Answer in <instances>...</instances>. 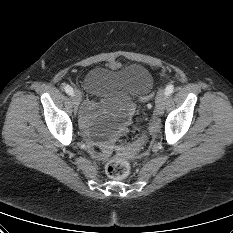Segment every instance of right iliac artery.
Masks as SVG:
<instances>
[{
    "label": "right iliac artery",
    "instance_id": "82829eb1",
    "mask_svg": "<svg viewBox=\"0 0 233 233\" xmlns=\"http://www.w3.org/2000/svg\"><path fill=\"white\" fill-rule=\"evenodd\" d=\"M64 89H65V92L69 95H73L74 94V91H73V88L69 85H65L64 86Z\"/></svg>",
    "mask_w": 233,
    "mask_h": 233
}]
</instances>
